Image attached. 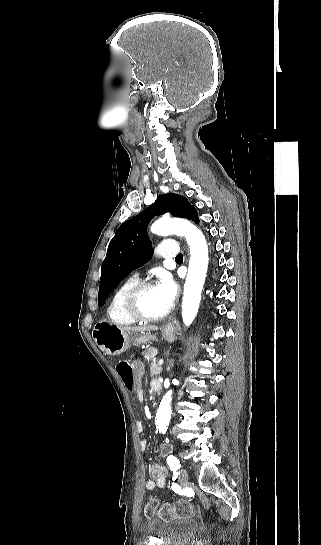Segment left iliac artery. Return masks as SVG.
Segmentation results:
<instances>
[{
	"mask_svg": "<svg viewBox=\"0 0 321 545\" xmlns=\"http://www.w3.org/2000/svg\"><path fill=\"white\" fill-rule=\"evenodd\" d=\"M167 463L170 469L173 471L174 477L176 478L178 475V470L181 467L179 460L175 456L170 455L167 457Z\"/></svg>",
	"mask_w": 321,
	"mask_h": 545,
	"instance_id": "1",
	"label": "left iliac artery"
}]
</instances>
